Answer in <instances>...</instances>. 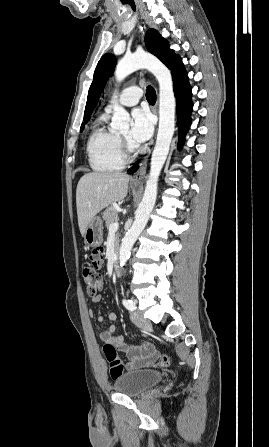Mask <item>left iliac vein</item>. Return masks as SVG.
Returning a JSON list of instances; mask_svg holds the SVG:
<instances>
[{
    "label": "left iliac vein",
    "instance_id": "1",
    "mask_svg": "<svg viewBox=\"0 0 269 447\" xmlns=\"http://www.w3.org/2000/svg\"><path fill=\"white\" fill-rule=\"evenodd\" d=\"M130 318L137 327L146 328L150 326V321L135 311H131Z\"/></svg>",
    "mask_w": 269,
    "mask_h": 447
}]
</instances>
